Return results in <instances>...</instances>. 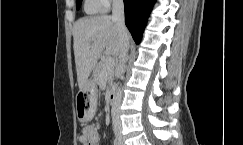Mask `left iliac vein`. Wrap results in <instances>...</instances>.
<instances>
[{
	"label": "left iliac vein",
	"instance_id": "left-iliac-vein-1",
	"mask_svg": "<svg viewBox=\"0 0 243 145\" xmlns=\"http://www.w3.org/2000/svg\"><path fill=\"white\" fill-rule=\"evenodd\" d=\"M120 145H125L124 140L122 137H120Z\"/></svg>",
	"mask_w": 243,
	"mask_h": 145
}]
</instances>
